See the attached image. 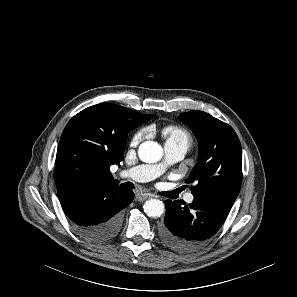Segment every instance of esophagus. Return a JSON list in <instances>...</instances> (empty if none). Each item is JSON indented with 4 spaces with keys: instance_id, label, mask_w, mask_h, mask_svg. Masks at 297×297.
I'll list each match as a JSON object with an SVG mask.
<instances>
[{
    "instance_id": "34e87169",
    "label": "esophagus",
    "mask_w": 297,
    "mask_h": 297,
    "mask_svg": "<svg viewBox=\"0 0 297 297\" xmlns=\"http://www.w3.org/2000/svg\"><path fill=\"white\" fill-rule=\"evenodd\" d=\"M153 195L150 194V193H138L136 194V200L139 201V202H143L149 198H151Z\"/></svg>"
}]
</instances>
